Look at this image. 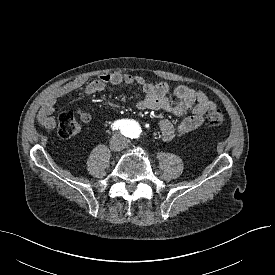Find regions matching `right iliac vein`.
Wrapping results in <instances>:
<instances>
[{
  "label": "right iliac vein",
  "mask_w": 275,
  "mask_h": 275,
  "mask_svg": "<svg viewBox=\"0 0 275 275\" xmlns=\"http://www.w3.org/2000/svg\"><path fill=\"white\" fill-rule=\"evenodd\" d=\"M111 148L113 150H120L121 149V142L118 138H115L111 141Z\"/></svg>",
  "instance_id": "right-iliac-vein-1"
}]
</instances>
